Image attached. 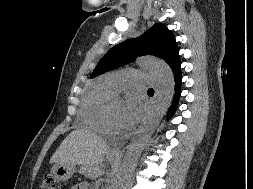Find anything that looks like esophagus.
Listing matches in <instances>:
<instances>
[{
  "mask_svg": "<svg viewBox=\"0 0 253 189\" xmlns=\"http://www.w3.org/2000/svg\"><path fill=\"white\" fill-rule=\"evenodd\" d=\"M111 154H113V155H122V148L121 147L113 148L112 151H111Z\"/></svg>",
  "mask_w": 253,
  "mask_h": 189,
  "instance_id": "obj_1",
  "label": "esophagus"
}]
</instances>
